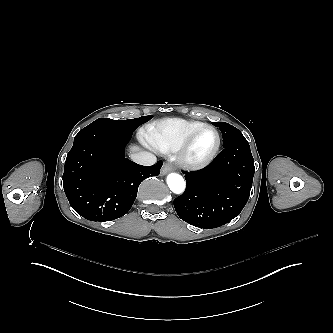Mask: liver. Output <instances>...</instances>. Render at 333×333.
<instances>
[{
    "label": "liver",
    "mask_w": 333,
    "mask_h": 333,
    "mask_svg": "<svg viewBox=\"0 0 333 333\" xmlns=\"http://www.w3.org/2000/svg\"><path fill=\"white\" fill-rule=\"evenodd\" d=\"M140 150V148L138 146H131L130 147V152L131 153H135L138 152Z\"/></svg>",
    "instance_id": "liver-1"
}]
</instances>
